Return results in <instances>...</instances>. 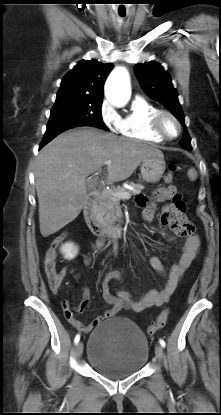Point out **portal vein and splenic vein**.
Segmentation results:
<instances>
[{
    "mask_svg": "<svg viewBox=\"0 0 221 415\" xmlns=\"http://www.w3.org/2000/svg\"><path fill=\"white\" fill-rule=\"evenodd\" d=\"M111 163H112V161L111 160H107V161H105L104 162V164L105 165H107V166H110L111 165ZM116 198H119V199H128V198H130L131 197V195H130V193L129 192H127V191H120V192H116V193H114L113 194Z\"/></svg>",
    "mask_w": 221,
    "mask_h": 415,
    "instance_id": "1",
    "label": "portal vein and splenic vein"
}]
</instances>
